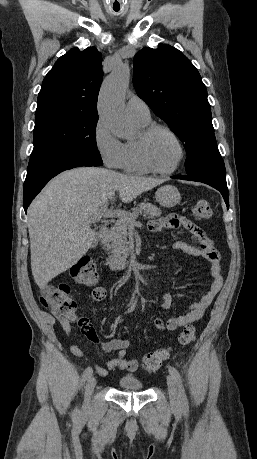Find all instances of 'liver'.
I'll use <instances>...</instances> for the list:
<instances>
[{"mask_svg": "<svg viewBox=\"0 0 257 459\" xmlns=\"http://www.w3.org/2000/svg\"><path fill=\"white\" fill-rule=\"evenodd\" d=\"M165 182L113 170L80 167L51 180L28 208L31 269L40 289L73 266L91 247L97 233L89 218L115 200L124 203Z\"/></svg>", "mask_w": 257, "mask_h": 459, "instance_id": "1", "label": "liver"}]
</instances>
